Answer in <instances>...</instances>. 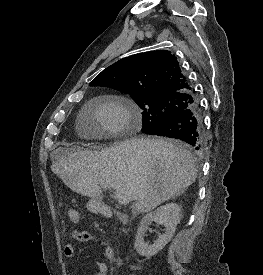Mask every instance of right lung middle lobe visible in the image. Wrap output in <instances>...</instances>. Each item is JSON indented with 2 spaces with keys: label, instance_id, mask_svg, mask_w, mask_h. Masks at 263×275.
I'll return each mask as SVG.
<instances>
[{
  "label": "right lung middle lobe",
  "instance_id": "dd1d6c3e",
  "mask_svg": "<svg viewBox=\"0 0 263 275\" xmlns=\"http://www.w3.org/2000/svg\"><path fill=\"white\" fill-rule=\"evenodd\" d=\"M131 96L142 110V132L144 133L191 107L195 102V98L189 94Z\"/></svg>",
  "mask_w": 263,
  "mask_h": 275
}]
</instances>
